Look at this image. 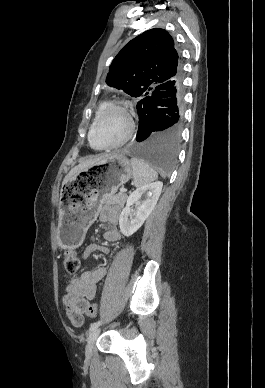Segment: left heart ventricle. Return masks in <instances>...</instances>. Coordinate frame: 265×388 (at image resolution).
<instances>
[{"mask_svg":"<svg viewBox=\"0 0 265 388\" xmlns=\"http://www.w3.org/2000/svg\"><path fill=\"white\" fill-rule=\"evenodd\" d=\"M127 129L126 117L115 110L107 112L95 129V140L99 145L117 143Z\"/></svg>","mask_w":265,"mask_h":388,"instance_id":"1","label":"left heart ventricle"}]
</instances>
